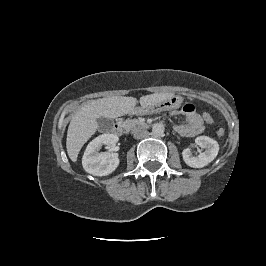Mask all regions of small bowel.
<instances>
[{"label": "small bowel", "instance_id": "obj_1", "mask_svg": "<svg viewBox=\"0 0 266 266\" xmlns=\"http://www.w3.org/2000/svg\"><path fill=\"white\" fill-rule=\"evenodd\" d=\"M173 115H183L186 117V123L175 126V131L182 136L194 137L204 129L203 120L192 103L184 104L180 110L173 112Z\"/></svg>", "mask_w": 266, "mask_h": 266}]
</instances>
